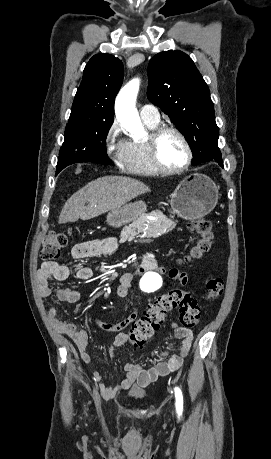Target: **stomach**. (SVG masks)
Segmentation results:
<instances>
[{"label": "stomach", "instance_id": "1", "mask_svg": "<svg viewBox=\"0 0 271 459\" xmlns=\"http://www.w3.org/2000/svg\"><path fill=\"white\" fill-rule=\"evenodd\" d=\"M218 190L211 178L204 174L187 176L171 194V208L174 214L183 220H198L214 210L218 202ZM146 210L143 202L127 204L119 210H113L107 216L108 224H129L138 220Z\"/></svg>", "mask_w": 271, "mask_h": 459}]
</instances>
